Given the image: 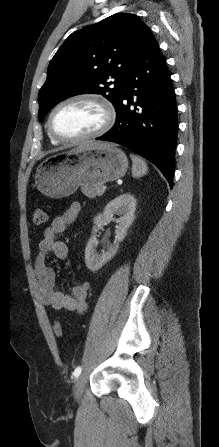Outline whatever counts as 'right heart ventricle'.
I'll use <instances>...</instances> for the list:
<instances>
[{"instance_id":"obj_1","label":"right heart ventricle","mask_w":219,"mask_h":447,"mask_svg":"<svg viewBox=\"0 0 219 447\" xmlns=\"http://www.w3.org/2000/svg\"><path fill=\"white\" fill-rule=\"evenodd\" d=\"M50 139H51L52 143H54V144H56V143L58 142L57 140H55V139L52 138L51 136H50Z\"/></svg>"}]
</instances>
